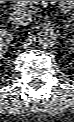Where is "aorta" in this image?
<instances>
[{"label":"aorta","instance_id":"762f6f07","mask_svg":"<svg viewBox=\"0 0 74 122\" xmlns=\"http://www.w3.org/2000/svg\"><path fill=\"white\" fill-rule=\"evenodd\" d=\"M37 43L42 49L52 48L57 43V35L51 29H42L37 33Z\"/></svg>","mask_w":74,"mask_h":122}]
</instances>
